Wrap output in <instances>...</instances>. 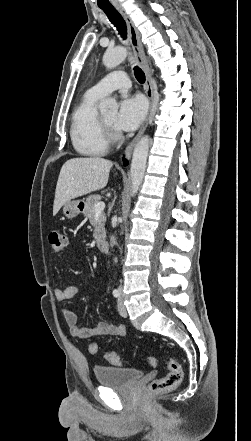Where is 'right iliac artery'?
I'll return each mask as SVG.
<instances>
[{
  "label": "right iliac artery",
  "instance_id": "right-iliac-artery-1",
  "mask_svg": "<svg viewBox=\"0 0 251 441\" xmlns=\"http://www.w3.org/2000/svg\"><path fill=\"white\" fill-rule=\"evenodd\" d=\"M113 296L115 298L119 297L120 296V291L118 289L113 290Z\"/></svg>",
  "mask_w": 251,
  "mask_h": 441
}]
</instances>
